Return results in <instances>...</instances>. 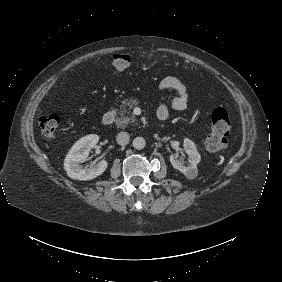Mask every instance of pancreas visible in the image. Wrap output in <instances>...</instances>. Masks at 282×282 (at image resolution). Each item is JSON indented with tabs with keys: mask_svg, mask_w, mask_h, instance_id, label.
<instances>
[{
	"mask_svg": "<svg viewBox=\"0 0 282 282\" xmlns=\"http://www.w3.org/2000/svg\"><path fill=\"white\" fill-rule=\"evenodd\" d=\"M138 105L137 100H124L122 105H120L119 115L120 117L115 119V124L119 128H125L129 124H134L137 122L135 115H133L130 110L133 109L134 106Z\"/></svg>",
	"mask_w": 282,
	"mask_h": 282,
	"instance_id": "1",
	"label": "pancreas"
}]
</instances>
